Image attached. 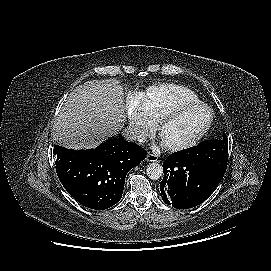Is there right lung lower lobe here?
I'll return each mask as SVG.
<instances>
[{
	"mask_svg": "<svg viewBox=\"0 0 271 271\" xmlns=\"http://www.w3.org/2000/svg\"><path fill=\"white\" fill-rule=\"evenodd\" d=\"M56 172L67 192L91 209H107L122 197L126 174L145 159L135 143L112 139L95 149L54 147Z\"/></svg>",
	"mask_w": 271,
	"mask_h": 271,
	"instance_id": "98d812e1",
	"label": "right lung lower lobe"
}]
</instances>
